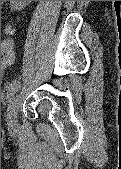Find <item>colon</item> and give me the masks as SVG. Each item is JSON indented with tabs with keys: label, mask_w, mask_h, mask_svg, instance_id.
Here are the masks:
<instances>
[{
	"label": "colon",
	"mask_w": 121,
	"mask_h": 169,
	"mask_svg": "<svg viewBox=\"0 0 121 169\" xmlns=\"http://www.w3.org/2000/svg\"><path fill=\"white\" fill-rule=\"evenodd\" d=\"M14 30L11 25L6 26L5 33L7 37L2 41L1 45V70L4 71L14 60V44L11 35Z\"/></svg>",
	"instance_id": "5ec220e1"
}]
</instances>
